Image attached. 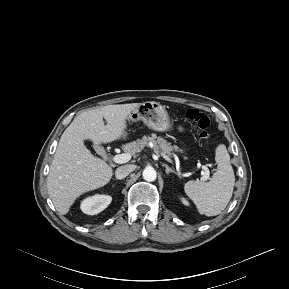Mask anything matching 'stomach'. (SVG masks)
Returning <instances> with one entry per match:
<instances>
[{"label":"stomach","mask_w":289,"mask_h":289,"mask_svg":"<svg viewBox=\"0 0 289 289\" xmlns=\"http://www.w3.org/2000/svg\"><path fill=\"white\" fill-rule=\"evenodd\" d=\"M129 121H143L150 129L165 132L172 128L170 117L165 108L158 102L141 103L128 117Z\"/></svg>","instance_id":"0dacf381"}]
</instances>
